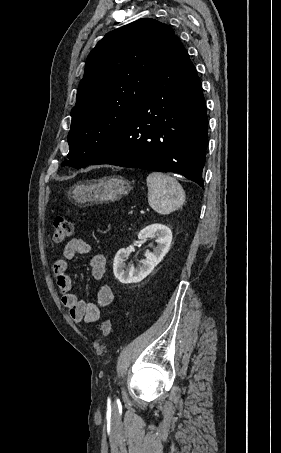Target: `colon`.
I'll list each match as a JSON object with an SVG mask.
<instances>
[{"mask_svg": "<svg viewBox=\"0 0 281 453\" xmlns=\"http://www.w3.org/2000/svg\"><path fill=\"white\" fill-rule=\"evenodd\" d=\"M74 228V222L68 216L57 217L53 225V237L57 244H64L70 239ZM114 329L113 319L106 317L99 324V333L102 337L108 338Z\"/></svg>", "mask_w": 281, "mask_h": 453, "instance_id": "colon-1", "label": "colon"}]
</instances>
